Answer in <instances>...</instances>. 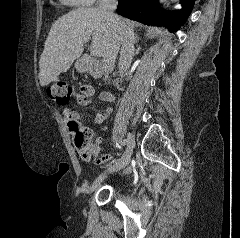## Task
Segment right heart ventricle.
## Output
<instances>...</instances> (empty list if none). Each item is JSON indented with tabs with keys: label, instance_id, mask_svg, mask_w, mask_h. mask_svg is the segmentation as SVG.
<instances>
[{
	"label": "right heart ventricle",
	"instance_id": "1",
	"mask_svg": "<svg viewBox=\"0 0 240 238\" xmlns=\"http://www.w3.org/2000/svg\"><path fill=\"white\" fill-rule=\"evenodd\" d=\"M63 4L72 7H83L89 5L86 0H60Z\"/></svg>",
	"mask_w": 240,
	"mask_h": 238
}]
</instances>
